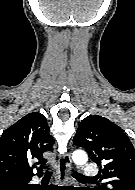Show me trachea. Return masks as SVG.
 Wrapping results in <instances>:
<instances>
[{
    "label": "trachea",
    "instance_id": "trachea-1",
    "mask_svg": "<svg viewBox=\"0 0 135 190\" xmlns=\"http://www.w3.org/2000/svg\"><path fill=\"white\" fill-rule=\"evenodd\" d=\"M51 175H52V173L49 172V171H47V172L45 173V177H50ZM73 176H74L75 178H78V179H90V178H87V177L83 176L82 174H80V173H78V172H76V171H73Z\"/></svg>",
    "mask_w": 135,
    "mask_h": 190
}]
</instances>
